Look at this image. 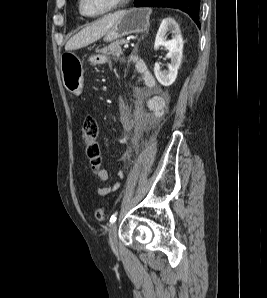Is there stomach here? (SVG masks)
<instances>
[{
	"instance_id": "stomach-1",
	"label": "stomach",
	"mask_w": 267,
	"mask_h": 298,
	"mask_svg": "<svg viewBox=\"0 0 267 298\" xmlns=\"http://www.w3.org/2000/svg\"><path fill=\"white\" fill-rule=\"evenodd\" d=\"M116 23L104 35V40L114 41L129 34L144 33L150 25L151 9L133 8L121 11ZM60 68L64 87L74 95L83 90L84 70L80 59L71 52L60 57Z\"/></svg>"
}]
</instances>
